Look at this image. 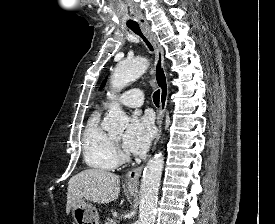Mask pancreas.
<instances>
[{"mask_svg": "<svg viewBox=\"0 0 275 224\" xmlns=\"http://www.w3.org/2000/svg\"><path fill=\"white\" fill-rule=\"evenodd\" d=\"M105 224H116V222L111 218H107V221L105 222Z\"/></svg>", "mask_w": 275, "mask_h": 224, "instance_id": "pancreas-1", "label": "pancreas"}]
</instances>
